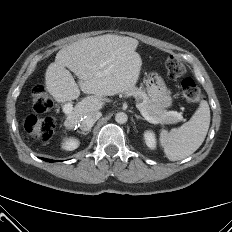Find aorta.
I'll list each match as a JSON object with an SVG mask.
<instances>
[{"label": "aorta", "mask_w": 232, "mask_h": 232, "mask_svg": "<svg viewBox=\"0 0 232 232\" xmlns=\"http://www.w3.org/2000/svg\"><path fill=\"white\" fill-rule=\"evenodd\" d=\"M127 120H128V116H127L126 113H124V112H118V113H116V115H115V121L117 123L124 124V123L127 122Z\"/></svg>", "instance_id": "obj_1"}]
</instances>
